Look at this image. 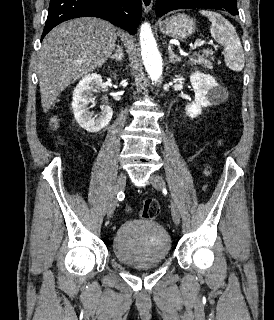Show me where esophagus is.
Returning a JSON list of instances; mask_svg holds the SVG:
<instances>
[{
    "label": "esophagus",
    "instance_id": "34e87169",
    "mask_svg": "<svg viewBox=\"0 0 274 320\" xmlns=\"http://www.w3.org/2000/svg\"><path fill=\"white\" fill-rule=\"evenodd\" d=\"M141 2H142L144 12L145 13L150 12V10L152 9L153 0H141Z\"/></svg>",
    "mask_w": 274,
    "mask_h": 320
}]
</instances>
